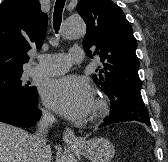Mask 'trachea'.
Returning a JSON list of instances; mask_svg holds the SVG:
<instances>
[{
	"label": "trachea",
	"instance_id": "trachea-1",
	"mask_svg": "<svg viewBox=\"0 0 168 162\" xmlns=\"http://www.w3.org/2000/svg\"><path fill=\"white\" fill-rule=\"evenodd\" d=\"M66 0H56L54 13H53V25L56 32H58L61 21H62V12Z\"/></svg>",
	"mask_w": 168,
	"mask_h": 162
}]
</instances>
